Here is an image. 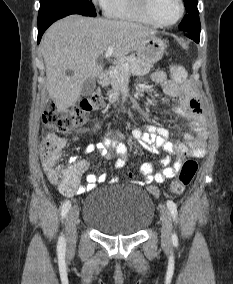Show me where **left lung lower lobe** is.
<instances>
[{"label": "left lung lower lobe", "instance_id": "obj_1", "mask_svg": "<svg viewBox=\"0 0 233 284\" xmlns=\"http://www.w3.org/2000/svg\"><path fill=\"white\" fill-rule=\"evenodd\" d=\"M185 34H186L189 38L193 39L196 43H198L199 40H200V33H189V32H185Z\"/></svg>", "mask_w": 233, "mask_h": 284}]
</instances>
